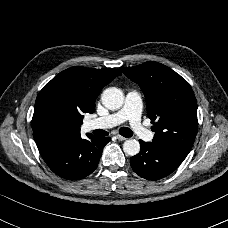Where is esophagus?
Returning a JSON list of instances; mask_svg holds the SVG:
<instances>
[{
	"label": "esophagus",
	"instance_id": "1",
	"mask_svg": "<svg viewBox=\"0 0 228 228\" xmlns=\"http://www.w3.org/2000/svg\"><path fill=\"white\" fill-rule=\"evenodd\" d=\"M116 137L119 141H125L127 139L126 137H123L122 135H119V134Z\"/></svg>",
	"mask_w": 228,
	"mask_h": 228
}]
</instances>
